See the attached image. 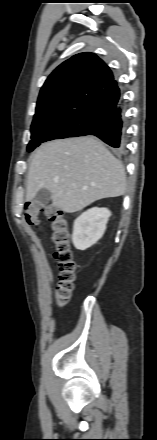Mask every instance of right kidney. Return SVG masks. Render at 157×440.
I'll return each instance as SVG.
<instances>
[{
    "label": "right kidney",
    "mask_w": 157,
    "mask_h": 440,
    "mask_svg": "<svg viewBox=\"0 0 157 440\" xmlns=\"http://www.w3.org/2000/svg\"><path fill=\"white\" fill-rule=\"evenodd\" d=\"M111 212L107 208H91L82 213L73 226L72 242L77 250H86L102 238Z\"/></svg>",
    "instance_id": "1"
}]
</instances>
